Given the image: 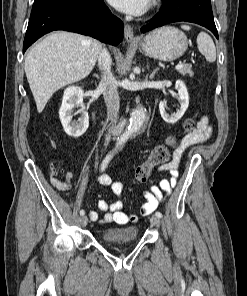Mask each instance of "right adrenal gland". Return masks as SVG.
<instances>
[{"mask_svg": "<svg viewBox=\"0 0 247 296\" xmlns=\"http://www.w3.org/2000/svg\"><path fill=\"white\" fill-rule=\"evenodd\" d=\"M94 77H96L97 79L100 78L98 74H94Z\"/></svg>", "mask_w": 247, "mask_h": 296, "instance_id": "2a0ac1e0", "label": "right adrenal gland"}]
</instances>
